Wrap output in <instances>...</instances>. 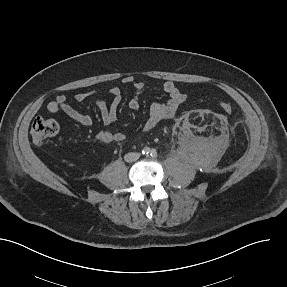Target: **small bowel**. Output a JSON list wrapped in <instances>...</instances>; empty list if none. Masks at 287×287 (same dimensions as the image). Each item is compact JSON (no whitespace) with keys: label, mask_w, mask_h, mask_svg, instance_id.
<instances>
[{"label":"small bowel","mask_w":287,"mask_h":287,"mask_svg":"<svg viewBox=\"0 0 287 287\" xmlns=\"http://www.w3.org/2000/svg\"><path fill=\"white\" fill-rule=\"evenodd\" d=\"M122 83L124 85H130L135 89V95L128 102L129 108L132 110L139 109L141 96L148 89V85L129 75L122 78ZM161 90L166 93L169 98L166 102H156L150 106L148 117L143 126L145 131H150L161 121L173 117L186 99L185 94L181 92L173 81H166L161 86ZM99 94L100 93L97 91L81 92L74 96V100L81 104H93L98 109L104 125L109 127L117 119L118 107L120 106L123 98L122 91L119 87L108 89L107 94L111 97L110 102L100 99ZM47 110L51 114L64 113L73 121L86 127L91 126L93 123L90 115L82 113L68 104L67 97L65 95H58L51 100L47 104ZM96 138L102 143H121L126 140V135L122 132H112L108 128H105L96 134Z\"/></svg>","instance_id":"obj_1"}]
</instances>
